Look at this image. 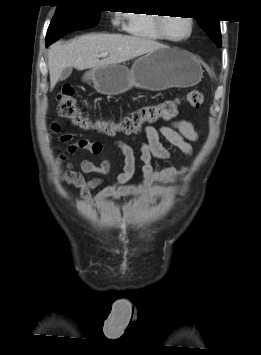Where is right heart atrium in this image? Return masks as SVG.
<instances>
[{"label":"right heart atrium","mask_w":261,"mask_h":355,"mask_svg":"<svg viewBox=\"0 0 261 355\" xmlns=\"http://www.w3.org/2000/svg\"><path fill=\"white\" fill-rule=\"evenodd\" d=\"M125 21H126V17L123 14H117L114 18H113V23L115 26L119 27V26H125Z\"/></svg>","instance_id":"obj_1"}]
</instances>
